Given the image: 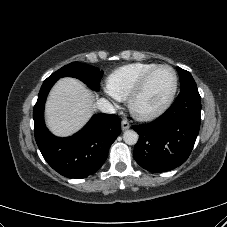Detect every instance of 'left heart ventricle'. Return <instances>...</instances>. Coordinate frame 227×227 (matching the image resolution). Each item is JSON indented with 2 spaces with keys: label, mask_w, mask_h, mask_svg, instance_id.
I'll return each mask as SVG.
<instances>
[{
  "label": "left heart ventricle",
  "mask_w": 227,
  "mask_h": 227,
  "mask_svg": "<svg viewBox=\"0 0 227 227\" xmlns=\"http://www.w3.org/2000/svg\"><path fill=\"white\" fill-rule=\"evenodd\" d=\"M175 82L173 72L168 68L158 70L149 80L136 106L140 111L148 112L157 109L170 95Z\"/></svg>",
  "instance_id": "1"
}]
</instances>
